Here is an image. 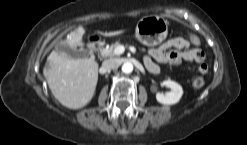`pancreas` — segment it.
I'll return each mask as SVG.
<instances>
[{"label": "pancreas", "instance_id": "1", "mask_svg": "<svg viewBox=\"0 0 247 145\" xmlns=\"http://www.w3.org/2000/svg\"><path fill=\"white\" fill-rule=\"evenodd\" d=\"M121 44L119 42H116L108 47H105L101 50V55L104 57H115L117 54L114 52L115 48L120 46ZM144 51V49H142Z\"/></svg>", "mask_w": 247, "mask_h": 145}]
</instances>
